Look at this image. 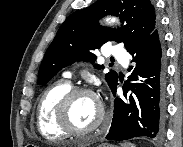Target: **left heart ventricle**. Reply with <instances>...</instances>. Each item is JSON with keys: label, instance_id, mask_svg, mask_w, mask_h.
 <instances>
[{"label": "left heart ventricle", "instance_id": "b2bd125f", "mask_svg": "<svg viewBox=\"0 0 183 147\" xmlns=\"http://www.w3.org/2000/svg\"><path fill=\"white\" fill-rule=\"evenodd\" d=\"M98 105L88 95H79L73 99L69 109L71 123L78 130L89 128L98 117Z\"/></svg>", "mask_w": 183, "mask_h": 147}]
</instances>
